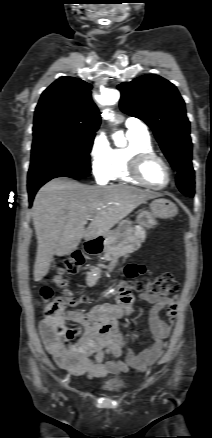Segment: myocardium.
<instances>
[{"instance_id":"f54148a6","label":"myocardium","mask_w":212,"mask_h":438,"mask_svg":"<svg viewBox=\"0 0 212 438\" xmlns=\"http://www.w3.org/2000/svg\"><path fill=\"white\" fill-rule=\"evenodd\" d=\"M151 159H156L162 163L167 173V181L162 186H155L148 181H146L143 177L142 171L145 163ZM129 175L133 180H135L138 184L151 188L154 190H163L166 189L172 182V171L169 163L160 155L151 151H142L134 153L131 156L128 166Z\"/></svg>"}]
</instances>
